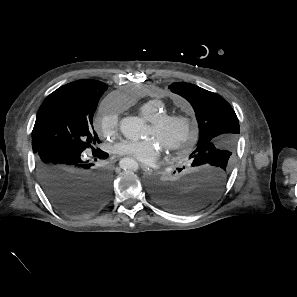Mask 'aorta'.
<instances>
[{
  "label": "aorta",
  "instance_id": "762f6f07",
  "mask_svg": "<svg viewBox=\"0 0 297 297\" xmlns=\"http://www.w3.org/2000/svg\"><path fill=\"white\" fill-rule=\"evenodd\" d=\"M120 130L124 137L129 140H138L146 133V126L138 117H125L120 122ZM125 171H137L138 163L132 158H123L119 163Z\"/></svg>",
  "mask_w": 297,
  "mask_h": 297
}]
</instances>
